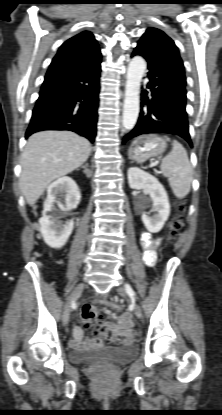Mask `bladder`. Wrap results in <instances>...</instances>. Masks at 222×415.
<instances>
[{
    "label": "bladder",
    "instance_id": "1",
    "mask_svg": "<svg viewBox=\"0 0 222 415\" xmlns=\"http://www.w3.org/2000/svg\"><path fill=\"white\" fill-rule=\"evenodd\" d=\"M138 351V346L135 343H126L120 346H101L97 348L71 347L69 350V359L74 363H87L98 358H105L114 363H125L135 359Z\"/></svg>",
    "mask_w": 222,
    "mask_h": 415
}]
</instances>
